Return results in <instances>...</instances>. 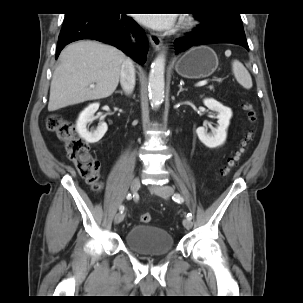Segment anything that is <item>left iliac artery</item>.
I'll use <instances>...</instances> for the list:
<instances>
[{
    "label": "left iliac artery",
    "mask_w": 303,
    "mask_h": 303,
    "mask_svg": "<svg viewBox=\"0 0 303 303\" xmlns=\"http://www.w3.org/2000/svg\"><path fill=\"white\" fill-rule=\"evenodd\" d=\"M172 199H173L175 202H177V203H182V202L184 201L183 197H182L180 194H178V193L174 194V196L172 197ZM187 218L192 219V214H191V213H188V214H187Z\"/></svg>",
    "instance_id": "44dca946"
}]
</instances>
